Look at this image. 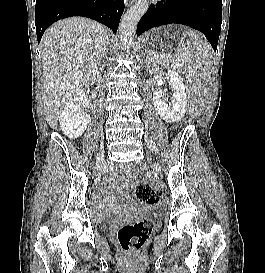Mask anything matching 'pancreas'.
<instances>
[{
  "label": "pancreas",
  "instance_id": "obj_1",
  "mask_svg": "<svg viewBox=\"0 0 265 273\" xmlns=\"http://www.w3.org/2000/svg\"><path fill=\"white\" fill-rule=\"evenodd\" d=\"M158 61L160 63L165 64V65H169V64L175 65V64H178V61L174 60V58H172V57L165 58V59H163V58H160V59L154 58V62H158Z\"/></svg>",
  "mask_w": 265,
  "mask_h": 273
}]
</instances>
